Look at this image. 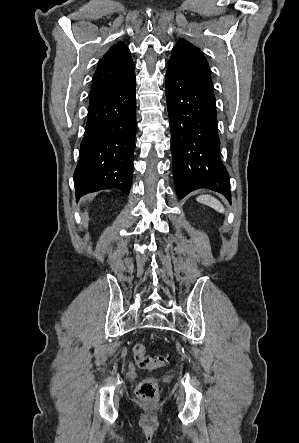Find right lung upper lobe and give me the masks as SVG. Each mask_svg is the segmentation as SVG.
<instances>
[{"label":"right lung upper lobe","mask_w":299,"mask_h":443,"mask_svg":"<svg viewBox=\"0 0 299 443\" xmlns=\"http://www.w3.org/2000/svg\"><path fill=\"white\" fill-rule=\"evenodd\" d=\"M132 75L134 64L130 51L123 42H119L99 62L93 76L90 102L113 90Z\"/></svg>","instance_id":"1"}]
</instances>
